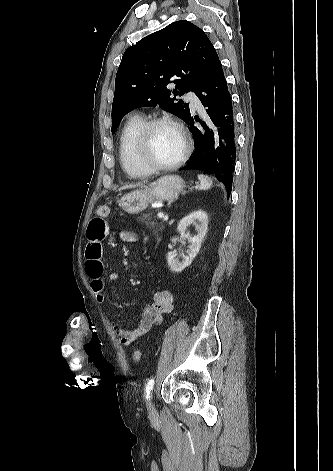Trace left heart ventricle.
<instances>
[{"label": "left heart ventricle", "instance_id": "left-heart-ventricle-1", "mask_svg": "<svg viewBox=\"0 0 333 471\" xmlns=\"http://www.w3.org/2000/svg\"><path fill=\"white\" fill-rule=\"evenodd\" d=\"M182 140L179 133L169 125L156 127L151 134V156L160 164L174 161L181 153Z\"/></svg>", "mask_w": 333, "mask_h": 471}]
</instances>
